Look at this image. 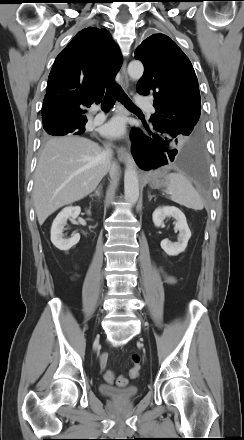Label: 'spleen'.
Segmentation results:
<instances>
[{
  "mask_svg": "<svg viewBox=\"0 0 244 440\" xmlns=\"http://www.w3.org/2000/svg\"><path fill=\"white\" fill-rule=\"evenodd\" d=\"M166 190L170 200L194 210H202L204 202L191 182L180 173H170L166 176Z\"/></svg>",
  "mask_w": 244,
  "mask_h": 440,
  "instance_id": "spleen-1",
  "label": "spleen"
}]
</instances>
